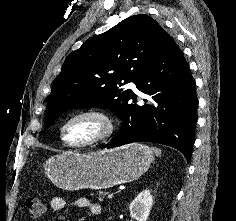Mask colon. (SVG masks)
Here are the masks:
<instances>
[{"label": "colon", "mask_w": 236, "mask_h": 221, "mask_svg": "<svg viewBox=\"0 0 236 221\" xmlns=\"http://www.w3.org/2000/svg\"><path fill=\"white\" fill-rule=\"evenodd\" d=\"M25 206L32 219L40 218L45 212L44 202L37 197H31L26 200Z\"/></svg>", "instance_id": "obj_1"}]
</instances>
